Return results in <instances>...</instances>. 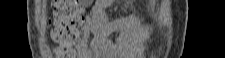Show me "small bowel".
Returning <instances> with one entry per match:
<instances>
[{"instance_id":"small-bowel-1","label":"small bowel","mask_w":225,"mask_h":58,"mask_svg":"<svg viewBox=\"0 0 225 58\" xmlns=\"http://www.w3.org/2000/svg\"><path fill=\"white\" fill-rule=\"evenodd\" d=\"M113 2L114 0H97L86 14L81 39L75 46L77 58H116L125 56L127 52L125 48L111 42L109 39L124 22L121 19H110L106 14L107 8ZM92 34H94V38L90 40ZM143 49L144 45L136 47L138 52Z\"/></svg>"}]
</instances>
